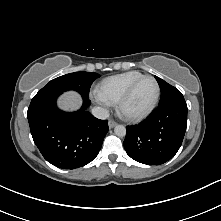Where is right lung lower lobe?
Returning <instances> with one entry per match:
<instances>
[{
    "instance_id": "obj_1",
    "label": "right lung lower lobe",
    "mask_w": 221,
    "mask_h": 221,
    "mask_svg": "<svg viewBox=\"0 0 221 221\" xmlns=\"http://www.w3.org/2000/svg\"><path fill=\"white\" fill-rule=\"evenodd\" d=\"M59 95L32 100L27 117L33 140L52 165L75 169L90 163L99 153L108 132V121L86 111L90 105L83 97L82 108L66 113L56 106Z\"/></svg>"
}]
</instances>
